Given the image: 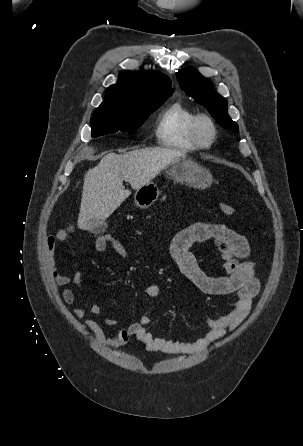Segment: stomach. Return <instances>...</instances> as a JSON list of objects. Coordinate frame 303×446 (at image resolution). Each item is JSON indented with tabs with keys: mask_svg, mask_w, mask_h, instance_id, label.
<instances>
[{
	"mask_svg": "<svg viewBox=\"0 0 303 446\" xmlns=\"http://www.w3.org/2000/svg\"><path fill=\"white\" fill-rule=\"evenodd\" d=\"M165 173L177 182L195 189H206L212 183L211 173L196 162L180 158L165 168ZM160 191L153 182H149L136 190L134 201L137 207H150L159 197Z\"/></svg>",
	"mask_w": 303,
	"mask_h": 446,
	"instance_id": "1",
	"label": "stomach"
}]
</instances>
